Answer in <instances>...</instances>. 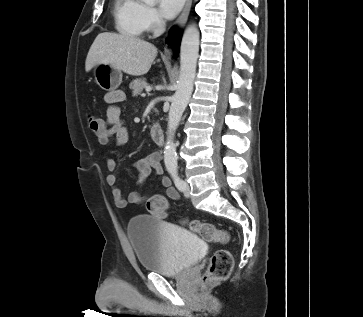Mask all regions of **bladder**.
Here are the masks:
<instances>
[{
  "mask_svg": "<svg viewBox=\"0 0 363 317\" xmlns=\"http://www.w3.org/2000/svg\"><path fill=\"white\" fill-rule=\"evenodd\" d=\"M128 234L139 265L161 275L185 272L206 252L205 239L197 233L148 215L132 218Z\"/></svg>",
  "mask_w": 363,
  "mask_h": 317,
  "instance_id": "obj_1",
  "label": "bladder"
}]
</instances>
